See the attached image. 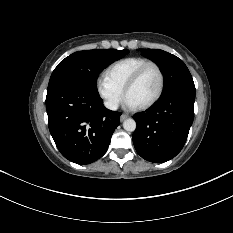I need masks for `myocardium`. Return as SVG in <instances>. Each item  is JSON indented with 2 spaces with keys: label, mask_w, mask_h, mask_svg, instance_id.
<instances>
[{
  "label": "myocardium",
  "mask_w": 233,
  "mask_h": 233,
  "mask_svg": "<svg viewBox=\"0 0 233 233\" xmlns=\"http://www.w3.org/2000/svg\"><path fill=\"white\" fill-rule=\"evenodd\" d=\"M149 67H154L159 75V79H160V83H159V88L157 93L155 94V96L148 101L147 103L138 106V109L140 110H145L150 108L151 106H153L162 96L163 91H164V87H165V75L164 72L161 68V66L153 61H148L145 64H143L142 66H140L133 74L132 76L129 78V80L127 81L125 87H124V95L127 98V94L129 92V90L138 82V80L141 78V76L144 74V72L149 68Z\"/></svg>",
  "instance_id": "f54148a6"
}]
</instances>
